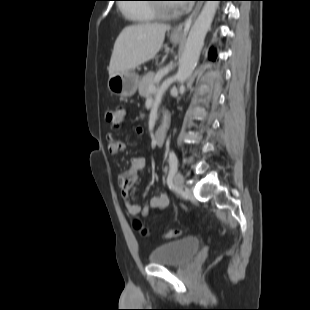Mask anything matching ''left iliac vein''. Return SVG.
<instances>
[{
	"mask_svg": "<svg viewBox=\"0 0 310 310\" xmlns=\"http://www.w3.org/2000/svg\"><path fill=\"white\" fill-rule=\"evenodd\" d=\"M175 186L178 190H182L184 187V177L180 172H177L174 177Z\"/></svg>",
	"mask_w": 310,
	"mask_h": 310,
	"instance_id": "4c4485c4",
	"label": "left iliac vein"
}]
</instances>
